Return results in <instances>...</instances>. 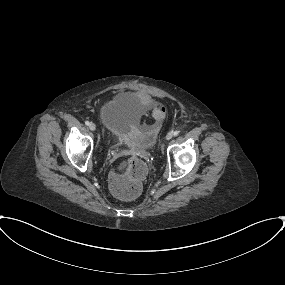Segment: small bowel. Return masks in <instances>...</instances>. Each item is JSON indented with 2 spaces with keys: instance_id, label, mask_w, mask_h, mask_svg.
<instances>
[{
  "instance_id": "1",
  "label": "small bowel",
  "mask_w": 285,
  "mask_h": 285,
  "mask_svg": "<svg viewBox=\"0 0 285 285\" xmlns=\"http://www.w3.org/2000/svg\"><path fill=\"white\" fill-rule=\"evenodd\" d=\"M145 103L151 108L150 122L158 124L166 118L168 113L166 108L155 106L154 102L150 99H146ZM101 120L107 130L116 136H121L123 131L129 128L133 129L137 125L135 119L125 122L122 116L115 112L110 106H106L104 109Z\"/></svg>"
}]
</instances>
